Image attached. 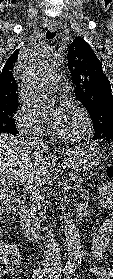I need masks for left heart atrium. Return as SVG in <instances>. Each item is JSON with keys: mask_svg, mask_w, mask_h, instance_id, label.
Returning <instances> with one entry per match:
<instances>
[{"mask_svg": "<svg viewBox=\"0 0 113 279\" xmlns=\"http://www.w3.org/2000/svg\"><path fill=\"white\" fill-rule=\"evenodd\" d=\"M64 110H65V107H61V108H58V109L56 110L55 119H54V122H53V124H52L54 128H55V126H56L57 124L60 123V121H61V119H62V117H63Z\"/></svg>", "mask_w": 113, "mask_h": 279, "instance_id": "obj_1", "label": "left heart atrium"}]
</instances>
